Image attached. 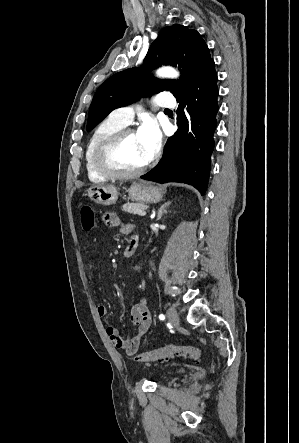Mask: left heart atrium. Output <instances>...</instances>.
Here are the masks:
<instances>
[{"instance_id": "39dd6f15", "label": "left heart atrium", "mask_w": 299, "mask_h": 443, "mask_svg": "<svg viewBox=\"0 0 299 443\" xmlns=\"http://www.w3.org/2000/svg\"><path fill=\"white\" fill-rule=\"evenodd\" d=\"M146 160L151 161L159 151L161 145V132L158 124L151 118L146 119L137 132Z\"/></svg>"}]
</instances>
